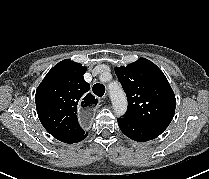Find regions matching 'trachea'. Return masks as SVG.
<instances>
[{
	"mask_svg": "<svg viewBox=\"0 0 209 179\" xmlns=\"http://www.w3.org/2000/svg\"><path fill=\"white\" fill-rule=\"evenodd\" d=\"M92 90L98 97H102L105 93V86L103 84L97 83L93 86Z\"/></svg>",
	"mask_w": 209,
	"mask_h": 179,
	"instance_id": "3493384b",
	"label": "trachea"
}]
</instances>
